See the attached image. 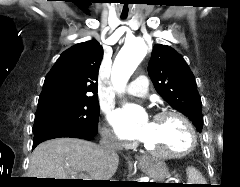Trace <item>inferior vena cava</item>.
<instances>
[{
  "label": "inferior vena cava",
  "mask_w": 240,
  "mask_h": 187,
  "mask_svg": "<svg viewBox=\"0 0 240 187\" xmlns=\"http://www.w3.org/2000/svg\"><path fill=\"white\" fill-rule=\"evenodd\" d=\"M119 147L120 144L112 134H103L102 139L100 140V149L104 155L114 156Z\"/></svg>",
  "instance_id": "inferior-vena-cava-1"
}]
</instances>
